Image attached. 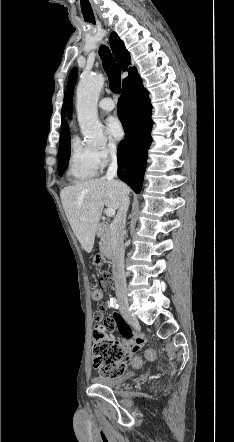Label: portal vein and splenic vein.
Returning <instances> with one entry per match:
<instances>
[{
    "label": "portal vein and splenic vein",
    "mask_w": 234,
    "mask_h": 442,
    "mask_svg": "<svg viewBox=\"0 0 234 442\" xmlns=\"http://www.w3.org/2000/svg\"><path fill=\"white\" fill-rule=\"evenodd\" d=\"M105 214H106V216H108V217H112V216L115 215V209H113V208H107V209L105 210Z\"/></svg>",
    "instance_id": "obj_1"
}]
</instances>
